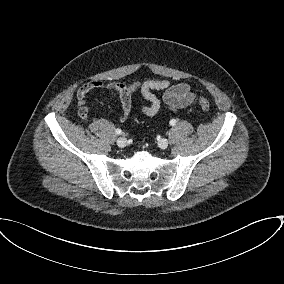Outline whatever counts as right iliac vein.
Masks as SVG:
<instances>
[{"label": "right iliac vein", "mask_w": 284, "mask_h": 284, "mask_svg": "<svg viewBox=\"0 0 284 284\" xmlns=\"http://www.w3.org/2000/svg\"><path fill=\"white\" fill-rule=\"evenodd\" d=\"M117 145L121 148L125 147L127 145V139L125 137H119L117 139Z\"/></svg>", "instance_id": "obj_1"}]
</instances>
